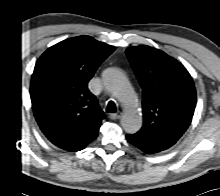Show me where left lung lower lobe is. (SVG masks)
Returning <instances> with one entry per match:
<instances>
[{
  "label": "left lung lower lobe",
  "instance_id": "0a47b994",
  "mask_svg": "<svg viewBox=\"0 0 220 196\" xmlns=\"http://www.w3.org/2000/svg\"><path fill=\"white\" fill-rule=\"evenodd\" d=\"M126 138L129 143L133 144L137 148L141 149L143 152L152 154L157 153L160 151H163L159 147L155 146L151 142H149L147 139H145L143 136L135 133V134H127Z\"/></svg>",
  "mask_w": 220,
  "mask_h": 196
}]
</instances>
